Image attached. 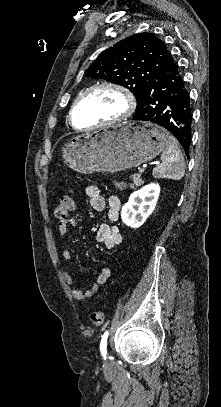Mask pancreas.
<instances>
[{
  "mask_svg": "<svg viewBox=\"0 0 221 407\" xmlns=\"http://www.w3.org/2000/svg\"><path fill=\"white\" fill-rule=\"evenodd\" d=\"M133 183L130 184L131 188H134L135 186H140L143 183V180L140 178L139 174H135L131 176Z\"/></svg>",
  "mask_w": 221,
  "mask_h": 407,
  "instance_id": "1",
  "label": "pancreas"
}]
</instances>
